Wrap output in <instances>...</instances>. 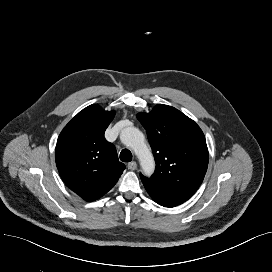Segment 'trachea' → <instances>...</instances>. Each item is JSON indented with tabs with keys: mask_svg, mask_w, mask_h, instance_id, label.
<instances>
[{
	"mask_svg": "<svg viewBox=\"0 0 272 272\" xmlns=\"http://www.w3.org/2000/svg\"><path fill=\"white\" fill-rule=\"evenodd\" d=\"M120 160L123 162H130L132 160V153L128 149H123L120 153Z\"/></svg>",
	"mask_w": 272,
	"mask_h": 272,
	"instance_id": "1",
	"label": "trachea"
}]
</instances>
